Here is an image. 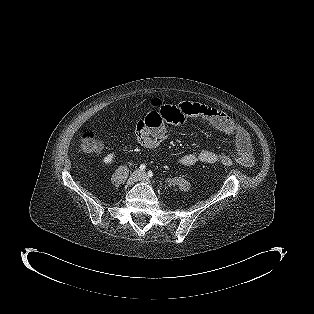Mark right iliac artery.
Segmentation results:
<instances>
[{"label":"right iliac artery","instance_id":"obj_1","mask_svg":"<svg viewBox=\"0 0 314 314\" xmlns=\"http://www.w3.org/2000/svg\"><path fill=\"white\" fill-rule=\"evenodd\" d=\"M145 168H146V166L144 164H141L140 167H139L140 171H144Z\"/></svg>","mask_w":314,"mask_h":314}]
</instances>
